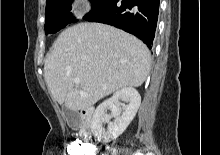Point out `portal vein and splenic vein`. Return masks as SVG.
Listing matches in <instances>:
<instances>
[{
    "mask_svg": "<svg viewBox=\"0 0 220 155\" xmlns=\"http://www.w3.org/2000/svg\"><path fill=\"white\" fill-rule=\"evenodd\" d=\"M74 83H75L76 85H78V84L80 83V80H79L78 78H75V79H74ZM81 95L86 96L87 94H86L85 92H81Z\"/></svg>",
    "mask_w": 220,
    "mask_h": 155,
    "instance_id": "1",
    "label": "portal vein and splenic vein"
}]
</instances>
